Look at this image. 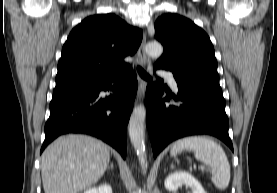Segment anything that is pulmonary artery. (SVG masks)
I'll return each instance as SVG.
<instances>
[{"label":"pulmonary artery","mask_w":277,"mask_h":193,"mask_svg":"<svg viewBox=\"0 0 277 193\" xmlns=\"http://www.w3.org/2000/svg\"><path fill=\"white\" fill-rule=\"evenodd\" d=\"M159 75L164 77L167 82L169 83V85L174 89V90H177L178 87H177V81L174 77V75L171 73V72H168V71H160L159 72Z\"/></svg>","instance_id":"1"}]
</instances>
